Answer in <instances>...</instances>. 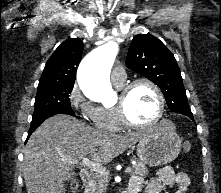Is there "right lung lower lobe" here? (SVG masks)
<instances>
[{"label": "right lung lower lobe", "instance_id": "98d812e1", "mask_svg": "<svg viewBox=\"0 0 221 193\" xmlns=\"http://www.w3.org/2000/svg\"><path fill=\"white\" fill-rule=\"evenodd\" d=\"M56 114H69V115H71V116H75V113H71V112H56V113H50V114L44 115V116H42V117H40V118H37V119H35V120H32V121H31L30 129H29V131H28V137H27V139H28V138L30 137V135L35 131V129L42 124V122H43L44 120H46V119L49 118L50 116H53V115H56Z\"/></svg>", "mask_w": 221, "mask_h": 193}]
</instances>
